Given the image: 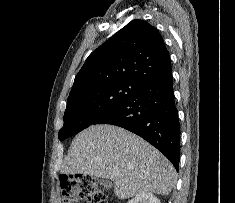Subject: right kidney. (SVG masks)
<instances>
[{"mask_svg":"<svg viewBox=\"0 0 235 203\" xmlns=\"http://www.w3.org/2000/svg\"><path fill=\"white\" fill-rule=\"evenodd\" d=\"M127 203H161L160 200L151 193H141L136 195Z\"/></svg>","mask_w":235,"mask_h":203,"instance_id":"obj_1","label":"right kidney"}]
</instances>
